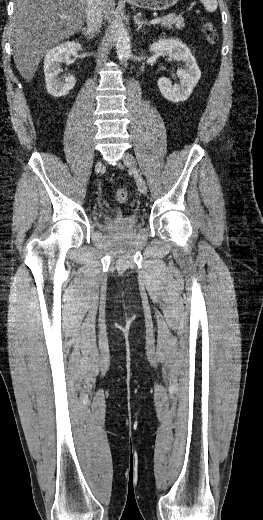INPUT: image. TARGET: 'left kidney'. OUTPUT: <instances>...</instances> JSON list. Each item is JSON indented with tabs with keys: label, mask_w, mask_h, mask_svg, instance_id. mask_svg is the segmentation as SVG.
Returning a JSON list of instances; mask_svg holds the SVG:
<instances>
[{
	"label": "left kidney",
	"mask_w": 263,
	"mask_h": 520,
	"mask_svg": "<svg viewBox=\"0 0 263 520\" xmlns=\"http://www.w3.org/2000/svg\"><path fill=\"white\" fill-rule=\"evenodd\" d=\"M150 51L167 53L170 59L185 64L183 68L177 70L180 78L178 84L173 85L168 78L161 77L158 80V87L162 95L171 102L187 100L201 77V71L190 49L178 39H160L150 46Z\"/></svg>",
	"instance_id": "left-kidney-1"
}]
</instances>
